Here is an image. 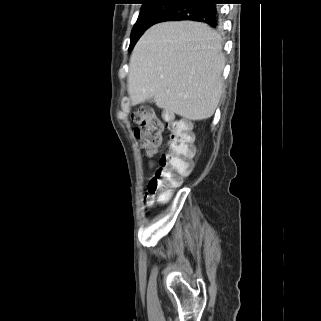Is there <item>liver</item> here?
I'll list each match as a JSON object with an SVG mask.
<instances>
[{
    "label": "liver",
    "instance_id": "obj_1",
    "mask_svg": "<svg viewBox=\"0 0 321 321\" xmlns=\"http://www.w3.org/2000/svg\"><path fill=\"white\" fill-rule=\"evenodd\" d=\"M225 58L220 36L193 21L156 24L130 58L128 94L133 105L156 106L185 119L210 118L219 103Z\"/></svg>",
    "mask_w": 321,
    "mask_h": 321
}]
</instances>
